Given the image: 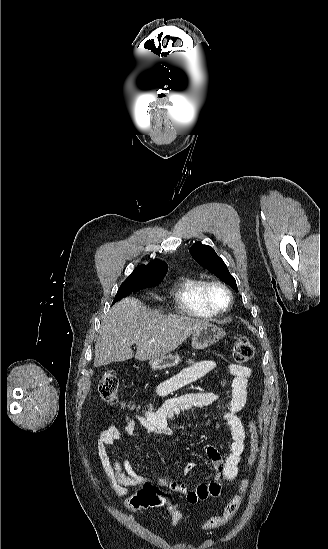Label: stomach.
<instances>
[{
  "label": "stomach",
  "mask_w": 328,
  "mask_h": 549,
  "mask_svg": "<svg viewBox=\"0 0 328 549\" xmlns=\"http://www.w3.org/2000/svg\"><path fill=\"white\" fill-rule=\"evenodd\" d=\"M224 335V329H221L215 323H208L205 327H200V329L194 331L191 345L193 349H206V347H210V345H214V343L220 341ZM179 363H181L179 355H162V357L149 361L152 371H162V369L176 367Z\"/></svg>",
  "instance_id": "1"
}]
</instances>
